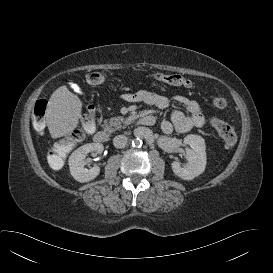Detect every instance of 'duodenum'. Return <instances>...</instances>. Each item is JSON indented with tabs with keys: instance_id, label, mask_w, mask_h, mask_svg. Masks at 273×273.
I'll use <instances>...</instances> for the list:
<instances>
[{
	"instance_id": "410a0bca",
	"label": "duodenum",
	"mask_w": 273,
	"mask_h": 273,
	"mask_svg": "<svg viewBox=\"0 0 273 273\" xmlns=\"http://www.w3.org/2000/svg\"><path fill=\"white\" fill-rule=\"evenodd\" d=\"M155 119L152 115H145L139 118L138 123L143 126H150L154 123ZM94 141L99 144H105L109 140V134L106 130L100 129L93 135Z\"/></svg>"
}]
</instances>
